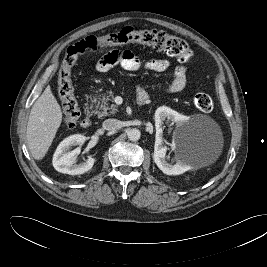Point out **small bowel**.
I'll return each mask as SVG.
<instances>
[{"label": "small bowel", "mask_w": 267, "mask_h": 267, "mask_svg": "<svg viewBox=\"0 0 267 267\" xmlns=\"http://www.w3.org/2000/svg\"><path fill=\"white\" fill-rule=\"evenodd\" d=\"M120 66L129 71L145 69L153 72H163L170 68L171 62L167 59H149L142 62L129 50L114 49L105 53L96 63L95 69L99 73H105L114 67ZM187 70L184 66H177L173 70L170 84L165 88L167 93L182 91L187 83ZM147 95L142 87L137 88V96Z\"/></svg>", "instance_id": "c3829d8e"}]
</instances>
